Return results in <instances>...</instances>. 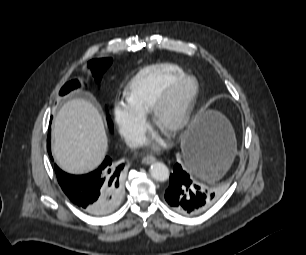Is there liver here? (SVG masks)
Segmentation results:
<instances>
[{
    "label": "liver",
    "instance_id": "liver-1",
    "mask_svg": "<svg viewBox=\"0 0 306 255\" xmlns=\"http://www.w3.org/2000/svg\"><path fill=\"white\" fill-rule=\"evenodd\" d=\"M52 152L59 167L84 174L103 161L108 138L97 108L85 99H73L59 110L53 124Z\"/></svg>",
    "mask_w": 306,
    "mask_h": 255
}]
</instances>
